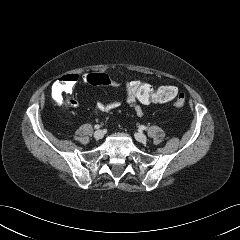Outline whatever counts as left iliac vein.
<instances>
[{"mask_svg": "<svg viewBox=\"0 0 240 240\" xmlns=\"http://www.w3.org/2000/svg\"><path fill=\"white\" fill-rule=\"evenodd\" d=\"M135 138L137 141L142 142V143H145L147 141L146 135H144L141 132L135 133Z\"/></svg>", "mask_w": 240, "mask_h": 240, "instance_id": "4c4485c4", "label": "left iliac vein"}]
</instances>
